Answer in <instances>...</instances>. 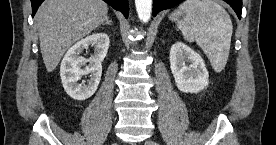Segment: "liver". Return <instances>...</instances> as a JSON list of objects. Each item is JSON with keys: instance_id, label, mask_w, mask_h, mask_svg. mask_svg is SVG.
Instances as JSON below:
<instances>
[{"instance_id": "6515ba94", "label": "liver", "mask_w": 276, "mask_h": 145, "mask_svg": "<svg viewBox=\"0 0 276 145\" xmlns=\"http://www.w3.org/2000/svg\"><path fill=\"white\" fill-rule=\"evenodd\" d=\"M108 18L102 0H45L35 19L45 67L52 72L67 49Z\"/></svg>"}]
</instances>
